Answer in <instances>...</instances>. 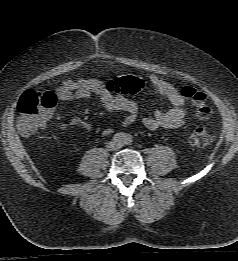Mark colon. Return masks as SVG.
<instances>
[{"label":"colon","instance_id":"obj_1","mask_svg":"<svg viewBox=\"0 0 238 261\" xmlns=\"http://www.w3.org/2000/svg\"><path fill=\"white\" fill-rule=\"evenodd\" d=\"M107 89L111 93L135 94L144 86L145 82L135 76H122L110 80ZM181 94L192 101L198 117L206 119L211 114L207 105L206 95L191 86L181 89ZM57 99L52 92H25L18 102V129L24 136H31L41 129L49 111L56 105ZM190 143L195 147H205L212 142V136L205 126H196L191 131Z\"/></svg>","mask_w":238,"mask_h":261}]
</instances>
